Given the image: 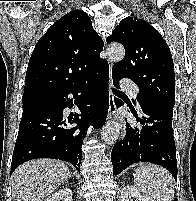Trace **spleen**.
Returning <instances> with one entry per match:
<instances>
[{"mask_svg": "<svg viewBox=\"0 0 196 201\" xmlns=\"http://www.w3.org/2000/svg\"><path fill=\"white\" fill-rule=\"evenodd\" d=\"M134 183L147 201H172L174 184L172 176L163 168L142 165L134 171Z\"/></svg>", "mask_w": 196, "mask_h": 201, "instance_id": "spleen-1", "label": "spleen"}]
</instances>
